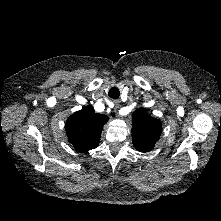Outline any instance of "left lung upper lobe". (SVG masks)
Instances as JSON below:
<instances>
[{"mask_svg": "<svg viewBox=\"0 0 221 221\" xmlns=\"http://www.w3.org/2000/svg\"><path fill=\"white\" fill-rule=\"evenodd\" d=\"M132 141L134 147L140 152H148L153 149L162 131L159 119L138 109L132 116Z\"/></svg>", "mask_w": 221, "mask_h": 221, "instance_id": "obj_1", "label": "left lung upper lobe"}]
</instances>
